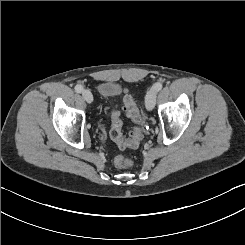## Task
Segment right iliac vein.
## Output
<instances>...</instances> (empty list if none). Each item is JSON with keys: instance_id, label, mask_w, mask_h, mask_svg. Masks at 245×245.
Returning <instances> with one entry per match:
<instances>
[{"instance_id": "63e3f726", "label": "right iliac vein", "mask_w": 245, "mask_h": 245, "mask_svg": "<svg viewBox=\"0 0 245 245\" xmlns=\"http://www.w3.org/2000/svg\"><path fill=\"white\" fill-rule=\"evenodd\" d=\"M82 96L84 97V99L86 100L87 103H92L93 95L89 90H83Z\"/></svg>"}]
</instances>
